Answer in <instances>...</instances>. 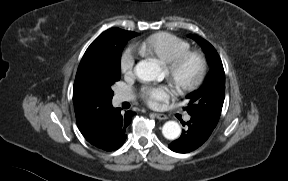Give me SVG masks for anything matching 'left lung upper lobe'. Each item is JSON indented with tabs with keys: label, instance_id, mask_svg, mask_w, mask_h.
<instances>
[{
	"label": "left lung upper lobe",
	"instance_id": "obj_1",
	"mask_svg": "<svg viewBox=\"0 0 288 181\" xmlns=\"http://www.w3.org/2000/svg\"><path fill=\"white\" fill-rule=\"evenodd\" d=\"M202 47L211 65L210 71L203 85L191 92L184 109L189 115H200L210 121L218 123L225 95V73L222 61L215 48L197 35H188Z\"/></svg>",
	"mask_w": 288,
	"mask_h": 181
}]
</instances>
